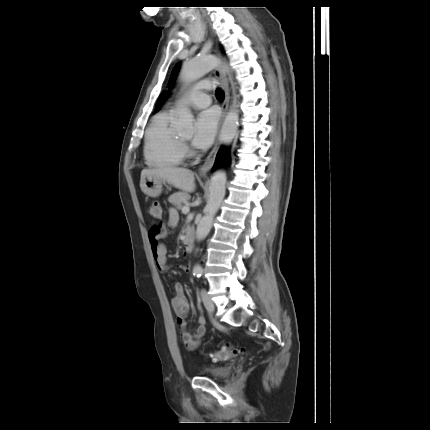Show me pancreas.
I'll use <instances>...</instances> for the list:
<instances>
[{
    "label": "pancreas",
    "mask_w": 430,
    "mask_h": 430,
    "mask_svg": "<svg viewBox=\"0 0 430 430\" xmlns=\"http://www.w3.org/2000/svg\"><path fill=\"white\" fill-rule=\"evenodd\" d=\"M189 199L190 195L187 192H176L168 198V201L177 209H182V204L187 202Z\"/></svg>",
    "instance_id": "1"
}]
</instances>
